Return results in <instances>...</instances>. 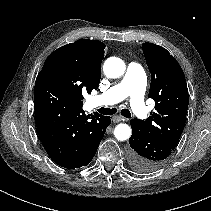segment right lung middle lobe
Here are the masks:
<instances>
[{"mask_svg":"<svg viewBox=\"0 0 211 211\" xmlns=\"http://www.w3.org/2000/svg\"><path fill=\"white\" fill-rule=\"evenodd\" d=\"M36 80H44L62 87L72 92L79 100H83L84 91L91 93L78 70L63 54H50Z\"/></svg>","mask_w":211,"mask_h":211,"instance_id":"1","label":"right lung middle lobe"}]
</instances>
